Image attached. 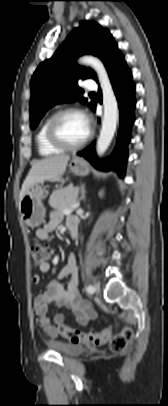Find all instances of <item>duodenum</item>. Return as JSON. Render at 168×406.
Returning a JSON list of instances; mask_svg holds the SVG:
<instances>
[{"label":"duodenum","instance_id":"1","mask_svg":"<svg viewBox=\"0 0 168 406\" xmlns=\"http://www.w3.org/2000/svg\"><path fill=\"white\" fill-rule=\"evenodd\" d=\"M68 228H69V231H70L71 238L73 240H75L77 238V236H78V229H79L77 220L76 221H70L69 224H68Z\"/></svg>","mask_w":168,"mask_h":406}]
</instances>
